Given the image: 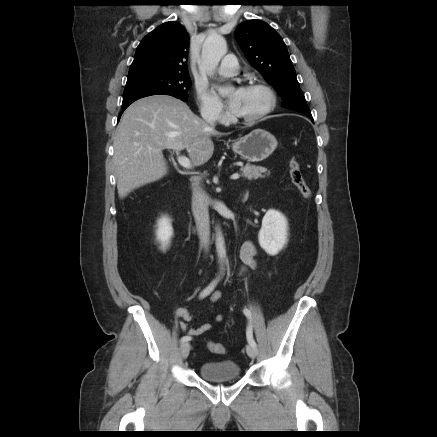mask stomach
Instances as JSON below:
<instances>
[{
  "mask_svg": "<svg viewBox=\"0 0 437 437\" xmlns=\"http://www.w3.org/2000/svg\"><path fill=\"white\" fill-rule=\"evenodd\" d=\"M277 140L269 132L256 129L232 144V150L249 162H260L276 149Z\"/></svg>",
  "mask_w": 437,
  "mask_h": 437,
  "instance_id": "obj_1",
  "label": "stomach"
}]
</instances>
